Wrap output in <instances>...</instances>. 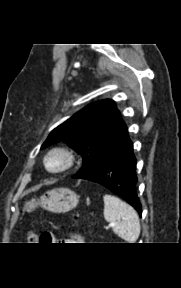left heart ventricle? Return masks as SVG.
I'll return each mask as SVG.
<instances>
[{"mask_svg":"<svg viewBox=\"0 0 181 288\" xmlns=\"http://www.w3.org/2000/svg\"><path fill=\"white\" fill-rule=\"evenodd\" d=\"M61 163H62L61 158L58 156H54L49 160L48 165L50 168H56L59 167Z\"/></svg>","mask_w":181,"mask_h":288,"instance_id":"obj_1","label":"left heart ventricle"}]
</instances>
